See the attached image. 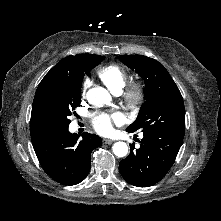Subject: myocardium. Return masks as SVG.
Returning <instances> with one entry per match:
<instances>
[{"label": "myocardium", "mask_w": 221, "mask_h": 221, "mask_svg": "<svg viewBox=\"0 0 221 221\" xmlns=\"http://www.w3.org/2000/svg\"><path fill=\"white\" fill-rule=\"evenodd\" d=\"M145 97V85L143 82L132 81L123 93V99L129 109H138Z\"/></svg>", "instance_id": "f54148a6"}]
</instances>
